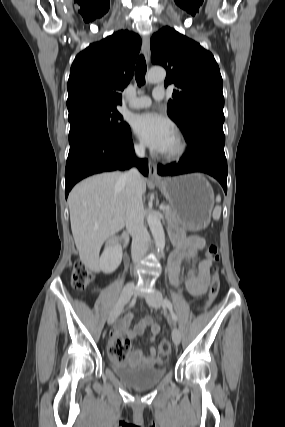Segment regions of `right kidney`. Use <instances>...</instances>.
<instances>
[{
	"instance_id": "obj_1",
	"label": "right kidney",
	"mask_w": 285,
	"mask_h": 427,
	"mask_svg": "<svg viewBox=\"0 0 285 427\" xmlns=\"http://www.w3.org/2000/svg\"><path fill=\"white\" fill-rule=\"evenodd\" d=\"M122 247L119 244L107 246L99 260V267L105 274L115 271L122 261Z\"/></svg>"
}]
</instances>
